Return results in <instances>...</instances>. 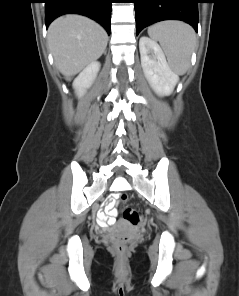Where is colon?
<instances>
[{
    "label": "colon",
    "mask_w": 239,
    "mask_h": 296,
    "mask_svg": "<svg viewBox=\"0 0 239 296\" xmlns=\"http://www.w3.org/2000/svg\"><path fill=\"white\" fill-rule=\"evenodd\" d=\"M126 195H120L118 200L124 202L126 200ZM124 218L131 225H138L143 221V215L140 211L133 208H126L123 212ZM112 250L117 254H124L127 251L128 247V238L127 237H116L112 241Z\"/></svg>",
    "instance_id": "colon-1"
}]
</instances>
